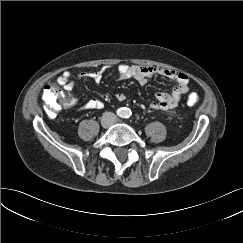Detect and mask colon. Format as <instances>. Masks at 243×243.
<instances>
[{"label": "colon", "mask_w": 243, "mask_h": 243, "mask_svg": "<svg viewBox=\"0 0 243 243\" xmlns=\"http://www.w3.org/2000/svg\"><path fill=\"white\" fill-rule=\"evenodd\" d=\"M45 108L49 116H55L63 107L69 106L68 99L57 86H48L43 92ZM199 101L196 94L192 93L187 98L188 105H195Z\"/></svg>", "instance_id": "1"}]
</instances>
